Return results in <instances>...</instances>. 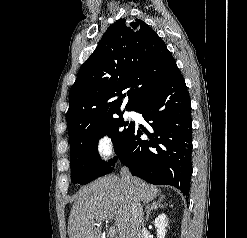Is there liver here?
<instances>
[{"instance_id":"1","label":"liver","mask_w":247,"mask_h":238,"mask_svg":"<svg viewBox=\"0 0 247 238\" xmlns=\"http://www.w3.org/2000/svg\"><path fill=\"white\" fill-rule=\"evenodd\" d=\"M132 190L143 203L153 201L160 193L155 186L135 177ZM130 211V191L120 177L108 175L96 179L76 195L68 222L69 238H101V221L109 218L114 219L119 238H130Z\"/></svg>"}]
</instances>
